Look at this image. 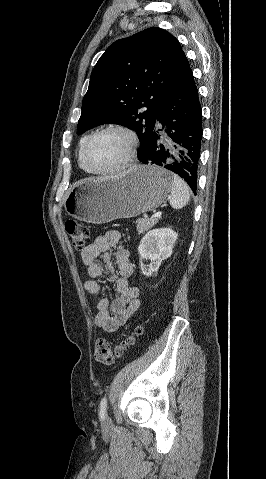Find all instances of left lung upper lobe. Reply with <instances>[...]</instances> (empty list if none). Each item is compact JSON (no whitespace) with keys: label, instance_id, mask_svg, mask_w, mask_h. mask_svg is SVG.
Masks as SVG:
<instances>
[{"label":"left lung upper lobe","instance_id":"left-lung-upper-lobe-1","mask_svg":"<svg viewBox=\"0 0 266 479\" xmlns=\"http://www.w3.org/2000/svg\"><path fill=\"white\" fill-rule=\"evenodd\" d=\"M189 69L179 41L163 29L152 27L117 40L91 73L78 133L106 123L134 129L141 159L162 103Z\"/></svg>","mask_w":266,"mask_h":479}]
</instances>
